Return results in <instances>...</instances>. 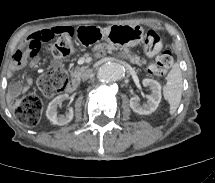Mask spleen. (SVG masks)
Returning <instances> with one entry per match:
<instances>
[{
	"label": "spleen",
	"instance_id": "3e777b00",
	"mask_svg": "<svg viewBox=\"0 0 215 183\" xmlns=\"http://www.w3.org/2000/svg\"><path fill=\"white\" fill-rule=\"evenodd\" d=\"M166 79L167 83L163 87V95L170 104V114H173L180 104L183 92V78L180 67L174 65Z\"/></svg>",
	"mask_w": 215,
	"mask_h": 183
}]
</instances>
